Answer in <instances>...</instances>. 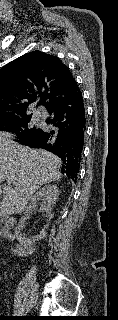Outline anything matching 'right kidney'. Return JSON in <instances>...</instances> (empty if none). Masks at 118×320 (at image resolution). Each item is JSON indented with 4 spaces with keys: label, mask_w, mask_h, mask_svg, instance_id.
I'll return each instance as SVG.
<instances>
[{
    "label": "right kidney",
    "mask_w": 118,
    "mask_h": 320,
    "mask_svg": "<svg viewBox=\"0 0 118 320\" xmlns=\"http://www.w3.org/2000/svg\"><path fill=\"white\" fill-rule=\"evenodd\" d=\"M58 196V187L50 184L45 185L32 196L30 204L27 207L24 215L21 217L15 230V236L20 243L19 250H21L23 253L31 254L33 252L32 246L35 245L39 240L46 237V230L49 227V222L53 218L52 207L56 203ZM40 200L43 202L39 203ZM34 211L44 214L48 219L39 235L27 238L22 235L21 231L25 228L26 220L29 219L30 214Z\"/></svg>",
    "instance_id": "1"
}]
</instances>
